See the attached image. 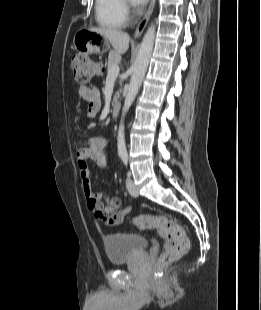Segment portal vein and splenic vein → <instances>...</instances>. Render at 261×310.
<instances>
[{"label": "portal vein and splenic vein", "mask_w": 261, "mask_h": 310, "mask_svg": "<svg viewBox=\"0 0 261 310\" xmlns=\"http://www.w3.org/2000/svg\"><path fill=\"white\" fill-rule=\"evenodd\" d=\"M118 74H119V66L118 65L112 66L108 70V77H117Z\"/></svg>", "instance_id": "1"}]
</instances>
